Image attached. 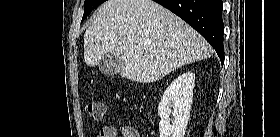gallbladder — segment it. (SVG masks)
Masks as SVG:
<instances>
[{"mask_svg": "<svg viewBox=\"0 0 280 137\" xmlns=\"http://www.w3.org/2000/svg\"><path fill=\"white\" fill-rule=\"evenodd\" d=\"M99 71L107 76H113L120 73L124 66V60L115 54H105L99 62Z\"/></svg>", "mask_w": 280, "mask_h": 137, "instance_id": "obj_1", "label": "gallbladder"}]
</instances>
